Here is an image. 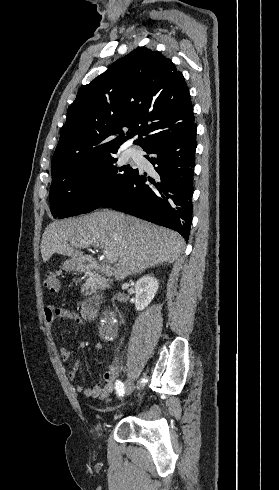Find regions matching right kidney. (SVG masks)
<instances>
[{"instance_id": "right-kidney-1", "label": "right kidney", "mask_w": 279, "mask_h": 490, "mask_svg": "<svg viewBox=\"0 0 279 490\" xmlns=\"http://www.w3.org/2000/svg\"><path fill=\"white\" fill-rule=\"evenodd\" d=\"M159 288V282L154 276H143L135 284V310L141 312L144 308L149 306L152 302L157 290Z\"/></svg>"}]
</instances>
